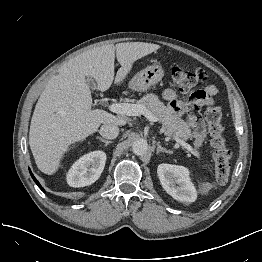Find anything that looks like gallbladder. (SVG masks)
Segmentation results:
<instances>
[{
  "mask_svg": "<svg viewBox=\"0 0 262 262\" xmlns=\"http://www.w3.org/2000/svg\"><path fill=\"white\" fill-rule=\"evenodd\" d=\"M86 83L89 87L95 88V83L91 78H86Z\"/></svg>",
  "mask_w": 262,
  "mask_h": 262,
  "instance_id": "obj_1",
  "label": "gallbladder"
}]
</instances>
